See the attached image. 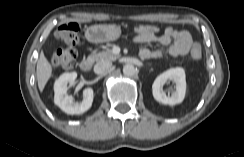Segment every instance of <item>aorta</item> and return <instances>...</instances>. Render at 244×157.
Listing matches in <instances>:
<instances>
[{
  "label": "aorta",
  "mask_w": 244,
  "mask_h": 157,
  "mask_svg": "<svg viewBox=\"0 0 244 157\" xmlns=\"http://www.w3.org/2000/svg\"><path fill=\"white\" fill-rule=\"evenodd\" d=\"M123 73L126 76H133L135 74V67L132 64H126L123 67Z\"/></svg>",
  "instance_id": "762f6f07"
}]
</instances>
